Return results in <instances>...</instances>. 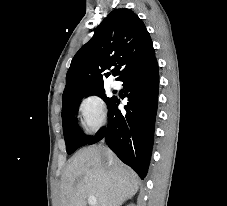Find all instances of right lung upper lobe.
<instances>
[{
  "label": "right lung upper lobe",
  "mask_w": 227,
  "mask_h": 206,
  "mask_svg": "<svg viewBox=\"0 0 227 206\" xmlns=\"http://www.w3.org/2000/svg\"><path fill=\"white\" fill-rule=\"evenodd\" d=\"M155 56L153 43L142 20L130 9H114L94 36L72 59L62 100L104 86L112 66L116 80Z\"/></svg>",
  "instance_id": "obj_1"
}]
</instances>
